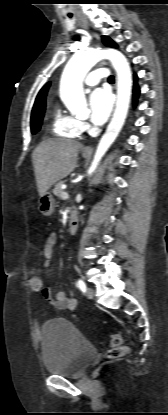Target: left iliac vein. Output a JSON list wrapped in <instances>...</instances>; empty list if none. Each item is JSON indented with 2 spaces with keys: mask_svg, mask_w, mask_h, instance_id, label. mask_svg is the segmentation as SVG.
<instances>
[{
  "mask_svg": "<svg viewBox=\"0 0 168 415\" xmlns=\"http://www.w3.org/2000/svg\"><path fill=\"white\" fill-rule=\"evenodd\" d=\"M86 296L89 299H92L94 297V289L91 288V287H88L87 290H86Z\"/></svg>",
  "mask_w": 168,
  "mask_h": 415,
  "instance_id": "left-iliac-vein-1",
  "label": "left iliac vein"
}]
</instances>
